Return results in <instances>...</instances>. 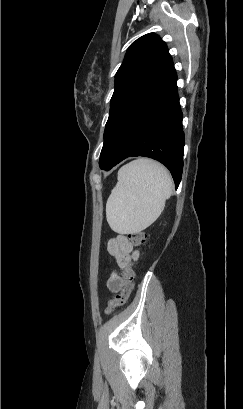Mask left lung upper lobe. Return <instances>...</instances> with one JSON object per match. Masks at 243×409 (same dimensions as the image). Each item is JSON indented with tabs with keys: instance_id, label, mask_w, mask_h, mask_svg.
Wrapping results in <instances>:
<instances>
[{
	"instance_id": "5c2ea615",
	"label": "left lung upper lobe",
	"mask_w": 243,
	"mask_h": 409,
	"mask_svg": "<svg viewBox=\"0 0 243 409\" xmlns=\"http://www.w3.org/2000/svg\"><path fill=\"white\" fill-rule=\"evenodd\" d=\"M171 58L167 46L154 33L146 34L129 47L124 61L115 75V90L104 131L100 166L109 164L117 151V126L149 80Z\"/></svg>"
}]
</instances>
